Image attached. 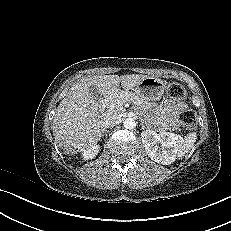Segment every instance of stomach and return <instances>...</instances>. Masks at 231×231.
<instances>
[{
	"label": "stomach",
	"mask_w": 231,
	"mask_h": 231,
	"mask_svg": "<svg viewBox=\"0 0 231 231\" xmlns=\"http://www.w3.org/2000/svg\"><path fill=\"white\" fill-rule=\"evenodd\" d=\"M166 88V83L164 80L149 76L143 79L136 87L132 90L134 93L145 101H155L159 100Z\"/></svg>",
	"instance_id": "stomach-1"
}]
</instances>
